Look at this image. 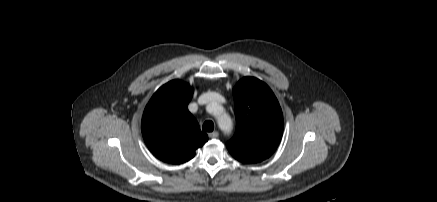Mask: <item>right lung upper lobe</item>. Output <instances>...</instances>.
<instances>
[{"instance_id": "obj_1", "label": "right lung upper lobe", "mask_w": 437, "mask_h": 202, "mask_svg": "<svg viewBox=\"0 0 437 202\" xmlns=\"http://www.w3.org/2000/svg\"><path fill=\"white\" fill-rule=\"evenodd\" d=\"M192 95L189 84L172 80L160 87L145 107L141 122L144 141L153 155L164 162H187L208 141L188 111Z\"/></svg>"}]
</instances>
